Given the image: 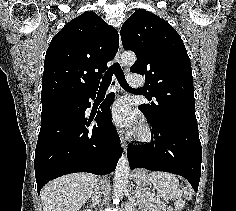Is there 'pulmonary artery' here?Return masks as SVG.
Wrapping results in <instances>:
<instances>
[{
  "mask_svg": "<svg viewBox=\"0 0 236 211\" xmlns=\"http://www.w3.org/2000/svg\"><path fill=\"white\" fill-rule=\"evenodd\" d=\"M127 79H128V84L134 87H140L141 85L144 84V79L134 73L128 74Z\"/></svg>",
  "mask_w": 236,
  "mask_h": 211,
  "instance_id": "1",
  "label": "pulmonary artery"
}]
</instances>
